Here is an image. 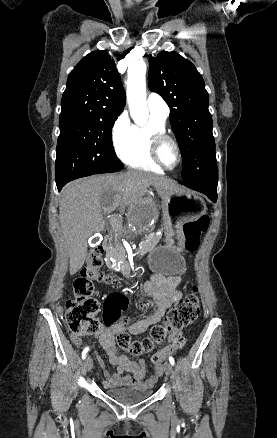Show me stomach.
<instances>
[{
  "label": "stomach",
  "instance_id": "0dacf381",
  "mask_svg": "<svg viewBox=\"0 0 277 438\" xmlns=\"http://www.w3.org/2000/svg\"><path fill=\"white\" fill-rule=\"evenodd\" d=\"M162 198L165 245L149 252L148 263L153 272L175 275L185 267L181 252L185 249L183 225L194 222L206 212L205 201L197 193L183 189H160Z\"/></svg>",
  "mask_w": 277,
  "mask_h": 438
}]
</instances>
